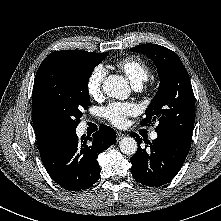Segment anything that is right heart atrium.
<instances>
[{
	"label": "right heart atrium",
	"mask_w": 221,
	"mask_h": 221,
	"mask_svg": "<svg viewBox=\"0 0 221 221\" xmlns=\"http://www.w3.org/2000/svg\"><path fill=\"white\" fill-rule=\"evenodd\" d=\"M106 76V69L102 65L94 67L86 82L87 93L91 98H99L102 93V84Z\"/></svg>",
	"instance_id": "d8ad5b80"
}]
</instances>
